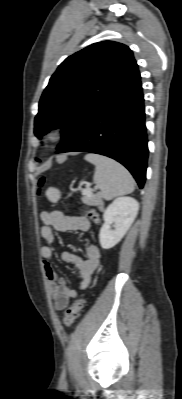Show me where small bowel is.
I'll return each instance as SVG.
<instances>
[{
  "instance_id": "obj_1",
  "label": "small bowel",
  "mask_w": 182,
  "mask_h": 399,
  "mask_svg": "<svg viewBox=\"0 0 182 399\" xmlns=\"http://www.w3.org/2000/svg\"><path fill=\"white\" fill-rule=\"evenodd\" d=\"M41 220L43 225L40 228V236L49 244L40 248V255L43 259V269L47 281V290L56 309L63 310L68 307L70 300L77 295V292L75 289L65 284L50 261L53 257L52 245L56 243L54 231L87 232L91 224L89 220L84 217L66 215L59 209L42 212ZM61 259L65 263L75 265L76 275L81 281V288L83 289L88 285L90 278L99 264L100 251L96 245L87 244L85 246L84 259L69 251L63 252L61 254Z\"/></svg>"
}]
</instances>
